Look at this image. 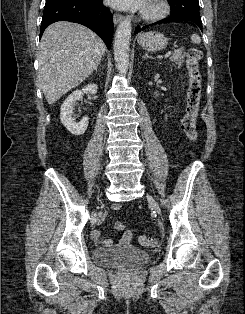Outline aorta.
Wrapping results in <instances>:
<instances>
[{"mask_svg":"<svg viewBox=\"0 0 245 314\" xmlns=\"http://www.w3.org/2000/svg\"><path fill=\"white\" fill-rule=\"evenodd\" d=\"M131 29V20L126 17L118 25L114 37V60L121 75H126L129 67Z\"/></svg>","mask_w":245,"mask_h":314,"instance_id":"obj_1","label":"aorta"}]
</instances>
